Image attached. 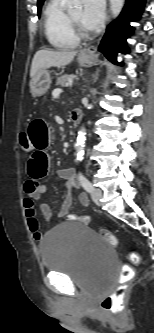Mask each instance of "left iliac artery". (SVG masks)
I'll use <instances>...</instances> for the list:
<instances>
[{"label":"left iliac artery","instance_id":"44dca946","mask_svg":"<svg viewBox=\"0 0 154 333\" xmlns=\"http://www.w3.org/2000/svg\"><path fill=\"white\" fill-rule=\"evenodd\" d=\"M79 181L81 186L87 191V192H92L93 191V186L91 182L80 172L79 173Z\"/></svg>","mask_w":154,"mask_h":333}]
</instances>
